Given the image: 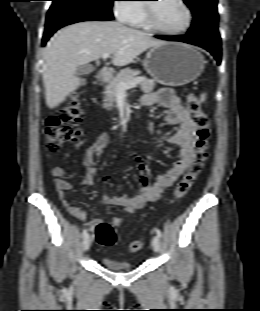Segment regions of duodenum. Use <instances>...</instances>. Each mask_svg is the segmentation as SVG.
<instances>
[{
    "label": "duodenum",
    "mask_w": 260,
    "mask_h": 311,
    "mask_svg": "<svg viewBox=\"0 0 260 311\" xmlns=\"http://www.w3.org/2000/svg\"><path fill=\"white\" fill-rule=\"evenodd\" d=\"M110 71L107 68H102L99 73L97 74V82L100 85H103L109 80Z\"/></svg>",
    "instance_id": "duodenum-1"
}]
</instances>
